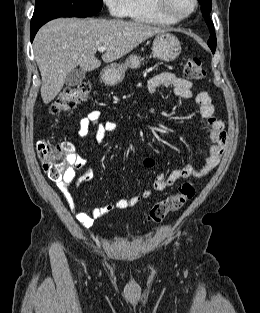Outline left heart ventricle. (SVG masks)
Masks as SVG:
<instances>
[{"instance_id": "left-heart-ventricle-1", "label": "left heart ventricle", "mask_w": 260, "mask_h": 313, "mask_svg": "<svg viewBox=\"0 0 260 313\" xmlns=\"http://www.w3.org/2000/svg\"><path fill=\"white\" fill-rule=\"evenodd\" d=\"M192 0H166V7L173 15L179 16L192 8Z\"/></svg>"}]
</instances>
